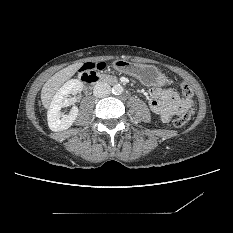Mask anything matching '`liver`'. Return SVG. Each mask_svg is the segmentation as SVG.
I'll list each match as a JSON object with an SVG mask.
<instances>
[{"mask_svg": "<svg viewBox=\"0 0 233 233\" xmlns=\"http://www.w3.org/2000/svg\"><path fill=\"white\" fill-rule=\"evenodd\" d=\"M81 66V62L69 65L68 67L55 73L50 79L47 80L41 90V102L44 108H49L54 94L66 80L71 78L78 71Z\"/></svg>", "mask_w": 233, "mask_h": 233, "instance_id": "obj_1", "label": "liver"}]
</instances>
